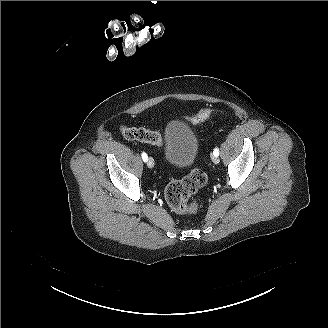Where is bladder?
<instances>
[{
	"mask_svg": "<svg viewBox=\"0 0 328 328\" xmlns=\"http://www.w3.org/2000/svg\"><path fill=\"white\" fill-rule=\"evenodd\" d=\"M182 128L180 123H170L166 135V154L170 164L186 167L196 159L198 144L193 135Z\"/></svg>",
	"mask_w": 328,
	"mask_h": 328,
	"instance_id": "31cf9c89",
	"label": "bladder"
}]
</instances>
